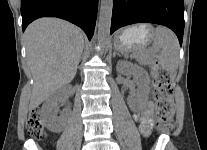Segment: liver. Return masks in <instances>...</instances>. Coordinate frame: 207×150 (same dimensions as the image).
Returning a JSON list of instances; mask_svg holds the SVG:
<instances>
[{"instance_id":"liver-1","label":"liver","mask_w":207,"mask_h":150,"mask_svg":"<svg viewBox=\"0 0 207 150\" xmlns=\"http://www.w3.org/2000/svg\"><path fill=\"white\" fill-rule=\"evenodd\" d=\"M27 61L34 79L33 110L76 75L84 47L82 31L57 18H40L25 31Z\"/></svg>"}]
</instances>
